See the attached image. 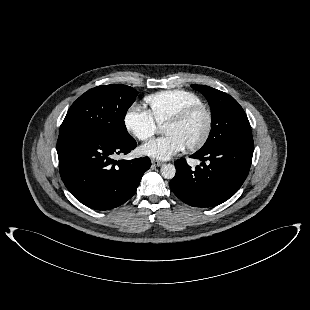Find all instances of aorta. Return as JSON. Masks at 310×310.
Instances as JSON below:
<instances>
[{"mask_svg":"<svg viewBox=\"0 0 310 310\" xmlns=\"http://www.w3.org/2000/svg\"><path fill=\"white\" fill-rule=\"evenodd\" d=\"M161 175L165 178V179H172L175 176L176 173V168L173 164H164L161 167Z\"/></svg>","mask_w":310,"mask_h":310,"instance_id":"obj_1","label":"aorta"}]
</instances>
